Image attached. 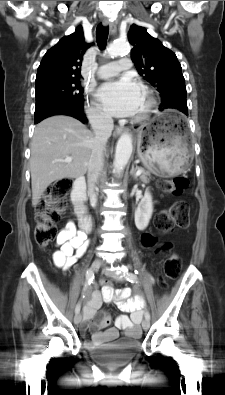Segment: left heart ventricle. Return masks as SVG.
I'll list each match as a JSON object with an SVG mask.
<instances>
[{
  "label": "left heart ventricle",
  "instance_id": "1",
  "mask_svg": "<svg viewBox=\"0 0 225 395\" xmlns=\"http://www.w3.org/2000/svg\"><path fill=\"white\" fill-rule=\"evenodd\" d=\"M144 106H145V96H144V94L142 92L140 105H139V108H138L137 113H136L137 115L143 110Z\"/></svg>",
  "mask_w": 225,
  "mask_h": 395
}]
</instances>
